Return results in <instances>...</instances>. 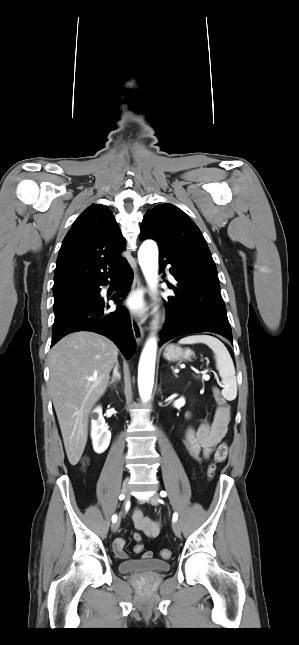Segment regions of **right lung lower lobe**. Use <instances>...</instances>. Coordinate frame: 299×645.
<instances>
[{"label":"right lung lower lobe","instance_id":"right-lung-lower-lobe-1","mask_svg":"<svg viewBox=\"0 0 299 645\" xmlns=\"http://www.w3.org/2000/svg\"><path fill=\"white\" fill-rule=\"evenodd\" d=\"M120 276L117 293L111 298L115 302L124 298L128 293L133 279V271L125 261L116 272L92 284V292L88 299L71 306L60 315L55 316L52 328L51 347L64 336L77 331H91L112 340L128 359L133 352L136 342L128 312L118 306L114 312L107 313L105 300L100 296L99 286L106 285L108 278Z\"/></svg>","mask_w":299,"mask_h":645}]
</instances>
